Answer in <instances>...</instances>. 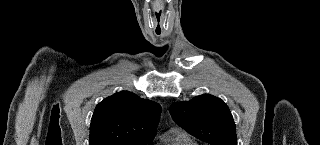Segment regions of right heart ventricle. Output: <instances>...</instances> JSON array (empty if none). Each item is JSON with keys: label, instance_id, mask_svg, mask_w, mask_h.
Returning <instances> with one entry per match:
<instances>
[{"label": "right heart ventricle", "instance_id": "1", "mask_svg": "<svg viewBox=\"0 0 320 145\" xmlns=\"http://www.w3.org/2000/svg\"><path fill=\"white\" fill-rule=\"evenodd\" d=\"M163 145H198V143L185 132H175L164 140Z\"/></svg>", "mask_w": 320, "mask_h": 145}]
</instances>
